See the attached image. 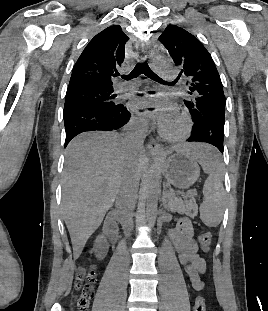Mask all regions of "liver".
<instances>
[{"instance_id": "liver-1", "label": "liver", "mask_w": 268, "mask_h": 311, "mask_svg": "<svg viewBox=\"0 0 268 311\" xmlns=\"http://www.w3.org/2000/svg\"><path fill=\"white\" fill-rule=\"evenodd\" d=\"M188 148L192 153L195 150L194 146ZM145 164L146 157L124 135L114 132L83 133L68 144L62 213L75 260L102 223L123 183L132 180L138 187Z\"/></svg>"}]
</instances>
